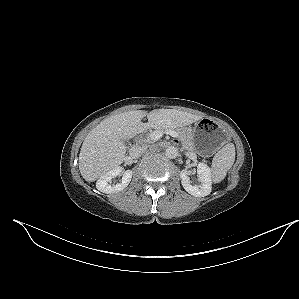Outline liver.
<instances>
[{
    "label": "liver",
    "instance_id": "1",
    "mask_svg": "<svg viewBox=\"0 0 299 299\" xmlns=\"http://www.w3.org/2000/svg\"><path fill=\"white\" fill-rule=\"evenodd\" d=\"M147 116L148 122L141 120ZM202 116L173 109H156L147 113L134 110L103 120L85 137L79 154L82 177L93 182L123 163L124 140L131 139L148 128L182 127L198 122Z\"/></svg>",
    "mask_w": 299,
    "mask_h": 299
}]
</instances>
